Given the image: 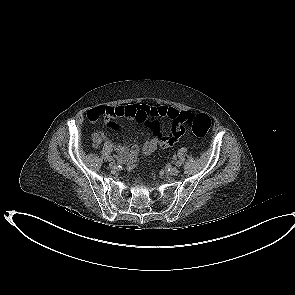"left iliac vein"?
I'll return each mask as SVG.
<instances>
[{
  "instance_id": "obj_1",
  "label": "left iliac vein",
  "mask_w": 295,
  "mask_h": 295,
  "mask_svg": "<svg viewBox=\"0 0 295 295\" xmlns=\"http://www.w3.org/2000/svg\"><path fill=\"white\" fill-rule=\"evenodd\" d=\"M168 172H169L170 175L175 176V175H177L179 173V170L176 167H172V168H170L168 170Z\"/></svg>"
}]
</instances>
